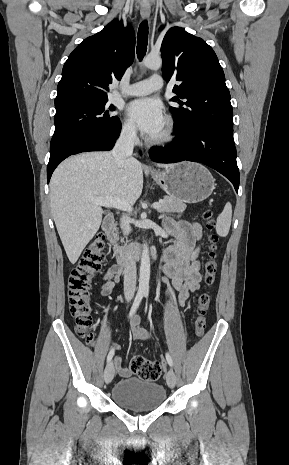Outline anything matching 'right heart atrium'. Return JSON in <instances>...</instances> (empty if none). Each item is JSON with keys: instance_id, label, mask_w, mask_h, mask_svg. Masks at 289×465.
<instances>
[{"instance_id": "obj_1", "label": "right heart atrium", "mask_w": 289, "mask_h": 465, "mask_svg": "<svg viewBox=\"0 0 289 465\" xmlns=\"http://www.w3.org/2000/svg\"><path fill=\"white\" fill-rule=\"evenodd\" d=\"M121 136L127 141H135L137 138V130L132 120L124 119L121 127Z\"/></svg>"}]
</instances>
